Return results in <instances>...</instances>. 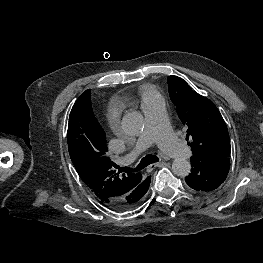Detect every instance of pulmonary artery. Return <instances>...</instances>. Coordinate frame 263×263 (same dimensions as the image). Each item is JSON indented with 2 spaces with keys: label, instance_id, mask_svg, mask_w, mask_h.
Listing matches in <instances>:
<instances>
[{
  "label": "pulmonary artery",
  "instance_id": "pulmonary-artery-1",
  "mask_svg": "<svg viewBox=\"0 0 263 263\" xmlns=\"http://www.w3.org/2000/svg\"><path fill=\"white\" fill-rule=\"evenodd\" d=\"M146 125L139 136L135 147L127 156V160L135 159L140 153L157 143L169 156L174 158H188L190 150L172 132L162 99L156 98L142 106Z\"/></svg>",
  "mask_w": 263,
  "mask_h": 263
}]
</instances>
